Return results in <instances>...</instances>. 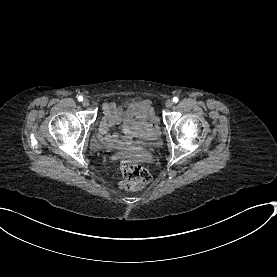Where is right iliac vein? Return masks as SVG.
I'll return each mask as SVG.
<instances>
[{
	"label": "right iliac vein",
	"mask_w": 277,
	"mask_h": 277,
	"mask_svg": "<svg viewBox=\"0 0 277 277\" xmlns=\"http://www.w3.org/2000/svg\"><path fill=\"white\" fill-rule=\"evenodd\" d=\"M82 105H83L84 107H87V106L89 105V100H88V99H84V100L82 101Z\"/></svg>",
	"instance_id": "63e3f726"
}]
</instances>
